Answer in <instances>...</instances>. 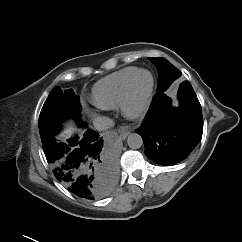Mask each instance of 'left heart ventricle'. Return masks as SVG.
<instances>
[{"instance_id": "b2bd125f", "label": "left heart ventricle", "mask_w": 242, "mask_h": 242, "mask_svg": "<svg viewBox=\"0 0 242 242\" xmlns=\"http://www.w3.org/2000/svg\"><path fill=\"white\" fill-rule=\"evenodd\" d=\"M149 83L150 77L148 74L142 73L137 77L133 91V105L136 106L140 103L149 86Z\"/></svg>"}]
</instances>
